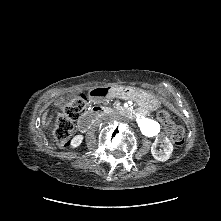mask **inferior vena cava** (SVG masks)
Returning a JSON list of instances; mask_svg holds the SVG:
<instances>
[{"mask_svg": "<svg viewBox=\"0 0 221 221\" xmlns=\"http://www.w3.org/2000/svg\"><path fill=\"white\" fill-rule=\"evenodd\" d=\"M111 114H112V113L106 114V119H109V116H110Z\"/></svg>", "mask_w": 221, "mask_h": 221, "instance_id": "1", "label": "inferior vena cava"}]
</instances>
